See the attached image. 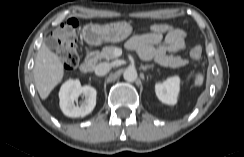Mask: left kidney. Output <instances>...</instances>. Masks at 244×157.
Wrapping results in <instances>:
<instances>
[{
    "label": "left kidney",
    "mask_w": 244,
    "mask_h": 157,
    "mask_svg": "<svg viewBox=\"0 0 244 157\" xmlns=\"http://www.w3.org/2000/svg\"><path fill=\"white\" fill-rule=\"evenodd\" d=\"M179 89L180 78L178 76L170 77L164 82L155 85V92L158 99L168 105L177 103Z\"/></svg>",
    "instance_id": "1"
}]
</instances>
